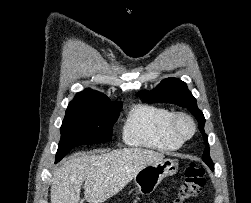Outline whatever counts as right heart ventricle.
Returning a JSON list of instances; mask_svg holds the SVG:
<instances>
[{"mask_svg": "<svg viewBox=\"0 0 251 203\" xmlns=\"http://www.w3.org/2000/svg\"><path fill=\"white\" fill-rule=\"evenodd\" d=\"M174 112L168 108L141 104L133 107L122 127V139L131 146L160 151L179 149L183 140L171 129Z\"/></svg>", "mask_w": 251, "mask_h": 203, "instance_id": "e07e8e85", "label": "right heart ventricle"}]
</instances>
